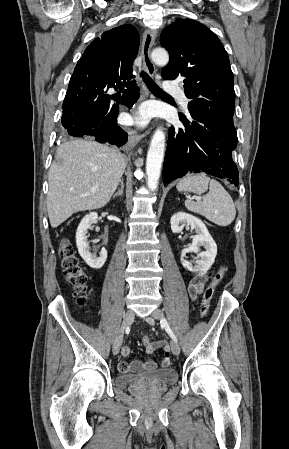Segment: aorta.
<instances>
[{
  "label": "aorta",
  "mask_w": 289,
  "mask_h": 449,
  "mask_svg": "<svg viewBox=\"0 0 289 449\" xmlns=\"http://www.w3.org/2000/svg\"><path fill=\"white\" fill-rule=\"evenodd\" d=\"M151 58L159 66H165L169 62L168 52L163 48L154 49ZM164 151L165 134L158 128L151 139L146 160L147 185L151 191L157 190L158 187Z\"/></svg>",
  "instance_id": "obj_1"
}]
</instances>
